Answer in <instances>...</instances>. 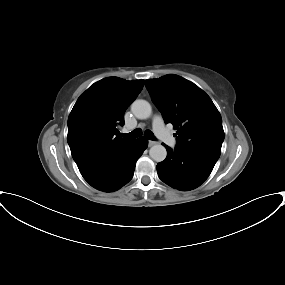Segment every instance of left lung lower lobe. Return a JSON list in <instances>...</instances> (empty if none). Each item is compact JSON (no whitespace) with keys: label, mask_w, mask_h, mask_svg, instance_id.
I'll list each match as a JSON object with an SVG mask.
<instances>
[{"label":"left lung lower lobe","mask_w":285,"mask_h":285,"mask_svg":"<svg viewBox=\"0 0 285 285\" xmlns=\"http://www.w3.org/2000/svg\"><path fill=\"white\" fill-rule=\"evenodd\" d=\"M167 149V157L157 164L159 178L167 185L188 191L200 186L210 175L217 159L176 146Z\"/></svg>","instance_id":"obj_1"}]
</instances>
